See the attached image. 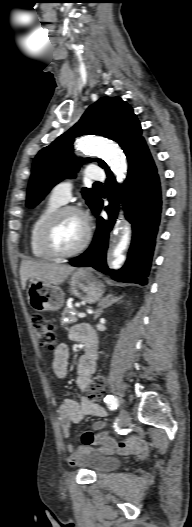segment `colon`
Returning <instances> with one entry per match:
<instances>
[{
    "label": "colon",
    "instance_id": "5ec220e1",
    "mask_svg": "<svg viewBox=\"0 0 192 527\" xmlns=\"http://www.w3.org/2000/svg\"><path fill=\"white\" fill-rule=\"evenodd\" d=\"M32 323L39 345L52 349L56 344V326L39 315L33 317ZM103 388L104 379L102 377L94 378L92 387L88 394L89 398L93 401H98L103 392Z\"/></svg>",
    "mask_w": 192,
    "mask_h": 527
}]
</instances>
